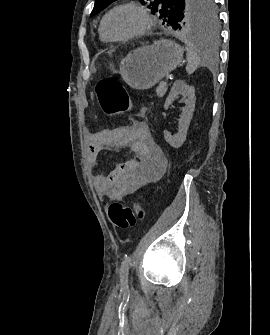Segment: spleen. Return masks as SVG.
<instances>
[{"label":"spleen","mask_w":270,"mask_h":335,"mask_svg":"<svg viewBox=\"0 0 270 335\" xmlns=\"http://www.w3.org/2000/svg\"><path fill=\"white\" fill-rule=\"evenodd\" d=\"M180 40L186 44L187 60L189 62L188 66H186L188 74H193L202 62H212L214 60L212 54H209L207 46L192 44V42H188L185 36H180Z\"/></svg>","instance_id":"3e777b00"}]
</instances>
